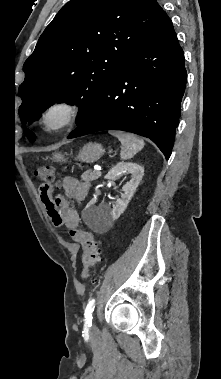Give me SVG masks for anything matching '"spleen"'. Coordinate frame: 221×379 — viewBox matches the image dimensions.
I'll return each instance as SVG.
<instances>
[{
    "label": "spleen",
    "instance_id": "obj_1",
    "mask_svg": "<svg viewBox=\"0 0 221 379\" xmlns=\"http://www.w3.org/2000/svg\"><path fill=\"white\" fill-rule=\"evenodd\" d=\"M122 144L120 157L122 160H128L134 157L144 147V141L138 136L125 132H112Z\"/></svg>",
    "mask_w": 221,
    "mask_h": 379
}]
</instances>
